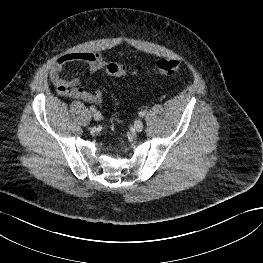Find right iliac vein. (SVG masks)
Listing matches in <instances>:
<instances>
[{"label":"right iliac vein","instance_id":"1","mask_svg":"<svg viewBox=\"0 0 263 263\" xmlns=\"http://www.w3.org/2000/svg\"><path fill=\"white\" fill-rule=\"evenodd\" d=\"M93 118H94L95 121H99L101 119V113L98 112V111H95L93 113Z\"/></svg>","mask_w":263,"mask_h":263}]
</instances>
